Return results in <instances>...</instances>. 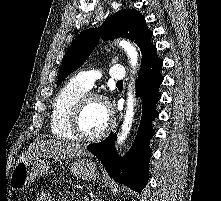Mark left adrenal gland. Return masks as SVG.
Returning a JSON list of instances; mask_svg holds the SVG:
<instances>
[{"mask_svg": "<svg viewBox=\"0 0 221 201\" xmlns=\"http://www.w3.org/2000/svg\"><path fill=\"white\" fill-rule=\"evenodd\" d=\"M92 201H100L98 195H96L95 198L92 199Z\"/></svg>", "mask_w": 221, "mask_h": 201, "instance_id": "left-adrenal-gland-1", "label": "left adrenal gland"}]
</instances>
